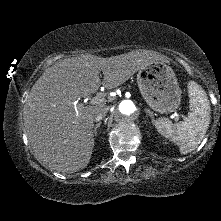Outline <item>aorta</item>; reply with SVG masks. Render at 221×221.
I'll return each instance as SVG.
<instances>
[{
	"label": "aorta",
	"instance_id": "762f6f07",
	"mask_svg": "<svg viewBox=\"0 0 221 221\" xmlns=\"http://www.w3.org/2000/svg\"><path fill=\"white\" fill-rule=\"evenodd\" d=\"M137 116V107L131 100H122L114 109L117 123L125 125L133 122Z\"/></svg>",
	"mask_w": 221,
	"mask_h": 221
}]
</instances>
